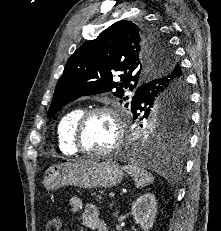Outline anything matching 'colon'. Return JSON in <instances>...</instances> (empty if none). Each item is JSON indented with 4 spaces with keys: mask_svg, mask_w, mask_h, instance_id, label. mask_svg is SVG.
I'll list each match as a JSON object with an SVG mask.
<instances>
[{
    "mask_svg": "<svg viewBox=\"0 0 221 231\" xmlns=\"http://www.w3.org/2000/svg\"><path fill=\"white\" fill-rule=\"evenodd\" d=\"M62 226L61 219L59 217H53L46 223V231H60Z\"/></svg>",
    "mask_w": 221,
    "mask_h": 231,
    "instance_id": "colon-1",
    "label": "colon"
}]
</instances>
